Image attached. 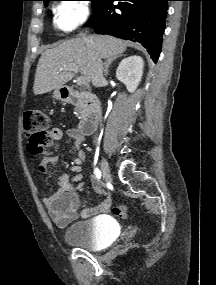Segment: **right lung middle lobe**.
Returning a JSON list of instances; mask_svg holds the SVG:
<instances>
[{"instance_id":"obj_1","label":"right lung middle lobe","mask_w":216,"mask_h":285,"mask_svg":"<svg viewBox=\"0 0 216 285\" xmlns=\"http://www.w3.org/2000/svg\"><path fill=\"white\" fill-rule=\"evenodd\" d=\"M49 1H56V0H49ZM49 1H47V2L44 3V4L47 6V4H48ZM90 1H92V4H93V7H94V8L96 7L97 3L99 2V0H90Z\"/></svg>"}]
</instances>
